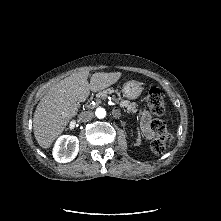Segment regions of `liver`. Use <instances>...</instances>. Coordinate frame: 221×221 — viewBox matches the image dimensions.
<instances>
[{"mask_svg":"<svg viewBox=\"0 0 221 221\" xmlns=\"http://www.w3.org/2000/svg\"><path fill=\"white\" fill-rule=\"evenodd\" d=\"M89 72H76L55 84L40 100L33 117L34 136L38 144L50 148L63 133L69 121L77 115L78 102H84L90 91H101L120 77V72L94 73L90 83Z\"/></svg>","mask_w":221,"mask_h":221,"instance_id":"6515ba94","label":"liver"}]
</instances>
